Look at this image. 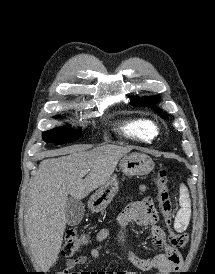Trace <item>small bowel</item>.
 <instances>
[{
  "mask_svg": "<svg viewBox=\"0 0 215 274\" xmlns=\"http://www.w3.org/2000/svg\"><path fill=\"white\" fill-rule=\"evenodd\" d=\"M130 222H136L140 226H149L151 228L153 244L164 252L150 258H141L136 255L130 249V239L124 231L125 226ZM109 235L110 230L106 228L101 229L96 234L95 242L98 246L91 248L89 251V256L92 259L97 260L99 258L101 244ZM116 242L127 250L131 263L141 271H151L154 274H169L181 269L183 265V259L177 249L178 247L169 244L166 240L165 232L158 223V215L151 198H145L141 202L132 203L122 212L118 219ZM86 260V256L69 259L66 262V268L59 274H136V272L129 270L119 272L72 271L76 266L84 264Z\"/></svg>",
  "mask_w": 215,
  "mask_h": 274,
  "instance_id": "c3829d8e",
  "label": "small bowel"
}]
</instances>
